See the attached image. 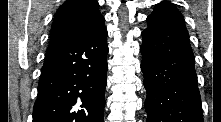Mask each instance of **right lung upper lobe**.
Returning a JSON list of instances; mask_svg holds the SVG:
<instances>
[{"label":"right lung upper lobe","instance_id":"cb5924a9","mask_svg":"<svg viewBox=\"0 0 221 122\" xmlns=\"http://www.w3.org/2000/svg\"><path fill=\"white\" fill-rule=\"evenodd\" d=\"M104 21L97 0H67L55 14L47 52L86 35Z\"/></svg>","mask_w":221,"mask_h":122}]
</instances>
